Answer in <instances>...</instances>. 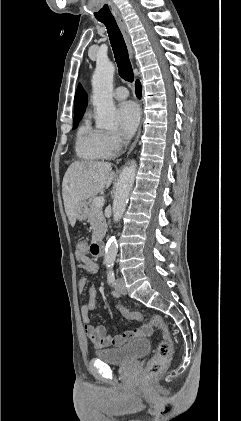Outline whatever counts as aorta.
I'll list each match as a JSON object with an SVG mask.
<instances>
[{
    "label": "aorta",
    "mask_w": 241,
    "mask_h": 421,
    "mask_svg": "<svg viewBox=\"0 0 241 421\" xmlns=\"http://www.w3.org/2000/svg\"><path fill=\"white\" fill-rule=\"evenodd\" d=\"M115 67L109 60H98L92 76L93 105L96 108V125L99 128L114 129V115L116 107L113 103V76ZM136 174V164L131 161L127 163L118 180L113 200V221L118 223L125 211L129 193L133 187ZM118 251L116 238L111 237L105 249V264L110 267L114 264Z\"/></svg>",
    "instance_id": "obj_1"
}]
</instances>
